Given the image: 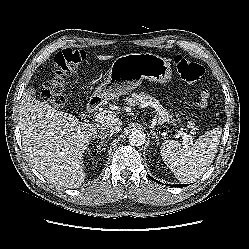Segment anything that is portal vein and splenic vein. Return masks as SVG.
Segmentation results:
<instances>
[{"mask_svg":"<svg viewBox=\"0 0 249 249\" xmlns=\"http://www.w3.org/2000/svg\"><path fill=\"white\" fill-rule=\"evenodd\" d=\"M113 117V114H112V112L111 111H102V112H100V113H98L97 115H96V121H98V122H100V123H102V122H104V121H106V120H110L111 118ZM181 136H182V138H183V145L185 146V147H188V142H189V139H191L192 137H191V135H189V134H187V133H183V132H181V131H179L178 132Z\"/></svg>","mask_w":249,"mask_h":249,"instance_id":"portal-vein-and-splenic-vein-1","label":"portal vein and splenic vein"}]
</instances>
